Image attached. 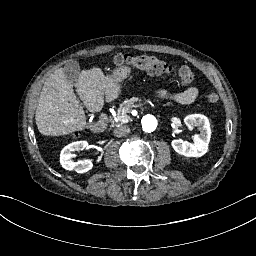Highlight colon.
I'll return each mask as SVG.
<instances>
[{
  "label": "colon",
  "mask_w": 256,
  "mask_h": 256,
  "mask_svg": "<svg viewBox=\"0 0 256 256\" xmlns=\"http://www.w3.org/2000/svg\"><path fill=\"white\" fill-rule=\"evenodd\" d=\"M115 64L120 67L127 64L131 69L145 70L152 76L168 75L172 71V67L169 64L149 55H118ZM176 72L183 85H189L195 80V73L189 67H178ZM204 100L207 103L215 104L218 101V96L209 91L204 94ZM73 136H76V134Z\"/></svg>",
  "instance_id": "5ec220e1"
}]
</instances>
